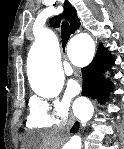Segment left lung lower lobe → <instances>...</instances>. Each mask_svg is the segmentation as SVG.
I'll return each instance as SVG.
<instances>
[{"label": "left lung lower lobe", "instance_id": "obj_1", "mask_svg": "<svg viewBox=\"0 0 124 149\" xmlns=\"http://www.w3.org/2000/svg\"><path fill=\"white\" fill-rule=\"evenodd\" d=\"M114 65V59L110 52L100 45L93 61L82 69L83 88L82 95L98 99L99 103H105L109 92L113 91V84L102 78V73Z\"/></svg>", "mask_w": 124, "mask_h": 149}]
</instances>
